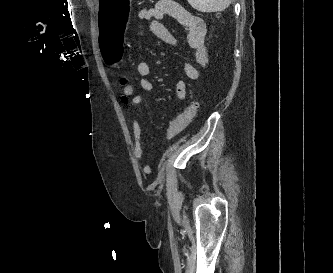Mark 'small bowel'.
<instances>
[{
  "instance_id": "c3829d8e",
  "label": "small bowel",
  "mask_w": 333,
  "mask_h": 273,
  "mask_svg": "<svg viewBox=\"0 0 333 273\" xmlns=\"http://www.w3.org/2000/svg\"><path fill=\"white\" fill-rule=\"evenodd\" d=\"M166 17H171L180 23L186 32V41L188 46L194 50L195 61L200 68L208 63V55L204 44L206 26L204 21L196 14L190 12L185 7L173 0H159L156 5L151 8H145L140 11V18L148 21L147 30L150 34L156 36L164 43L177 46L179 39L171 33L163 24ZM200 68L193 66L189 62H183L182 69L184 74L190 80H197L200 75ZM137 74L140 76L139 85L144 92H152L154 84L149 79L151 67L147 62L141 61L136 66ZM176 97L183 101L186 99L187 90L184 81L179 80L174 87ZM142 102L140 95H132L129 98V104L126 106L131 111V121L134 139V156L141 159L143 156V148L141 142V125L134 111L135 107ZM145 173L150 171L149 166H144Z\"/></svg>"
}]
</instances>
